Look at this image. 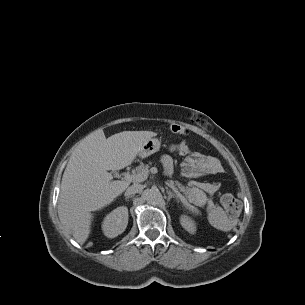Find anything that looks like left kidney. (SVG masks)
Returning <instances> with one entry per match:
<instances>
[{
    "mask_svg": "<svg viewBox=\"0 0 305 305\" xmlns=\"http://www.w3.org/2000/svg\"><path fill=\"white\" fill-rule=\"evenodd\" d=\"M180 223L182 227L191 234H194L196 231L195 223L186 216L180 218Z\"/></svg>",
    "mask_w": 305,
    "mask_h": 305,
    "instance_id": "obj_1",
    "label": "left kidney"
}]
</instances>
